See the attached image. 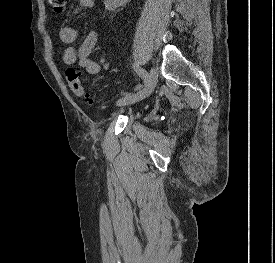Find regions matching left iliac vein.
Returning <instances> with one entry per match:
<instances>
[{
	"label": "left iliac vein",
	"mask_w": 275,
	"mask_h": 263,
	"mask_svg": "<svg viewBox=\"0 0 275 263\" xmlns=\"http://www.w3.org/2000/svg\"><path fill=\"white\" fill-rule=\"evenodd\" d=\"M157 83V73L156 69L152 67L149 71L148 80L146 81L145 85L134 93H128L125 96L121 97L116 105L117 106H126L137 101H140L146 98L155 88Z\"/></svg>",
	"instance_id": "4c4485c4"
}]
</instances>
